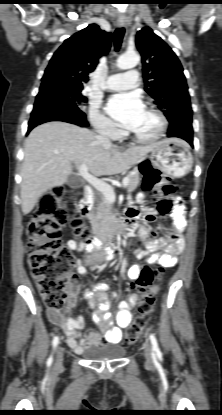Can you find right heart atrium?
<instances>
[{
  "label": "right heart atrium",
  "instance_id": "obj_1",
  "mask_svg": "<svg viewBox=\"0 0 222 415\" xmlns=\"http://www.w3.org/2000/svg\"><path fill=\"white\" fill-rule=\"evenodd\" d=\"M89 120L94 130L101 135L114 139L120 134L117 125L103 115L95 106H92L89 111Z\"/></svg>",
  "mask_w": 222,
  "mask_h": 415
}]
</instances>
